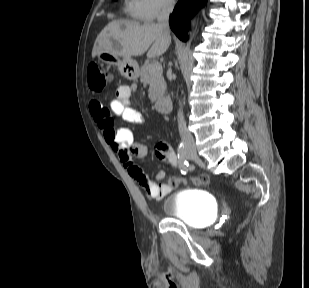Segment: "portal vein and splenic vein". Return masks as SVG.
<instances>
[{
	"label": "portal vein and splenic vein",
	"mask_w": 309,
	"mask_h": 288,
	"mask_svg": "<svg viewBox=\"0 0 309 288\" xmlns=\"http://www.w3.org/2000/svg\"><path fill=\"white\" fill-rule=\"evenodd\" d=\"M162 69V66L159 62H154L152 65H151V70L155 71V70H160Z\"/></svg>",
	"instance_id": "18ae733b"
}]
</instances>
